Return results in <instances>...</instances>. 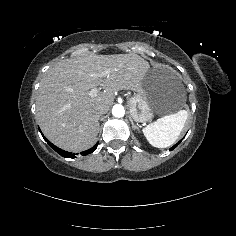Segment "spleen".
Instances as JSON below:
<instances>
[{"label":"spleen","instance_id":"obj_1","mask_svg":"<svg viewBox=\"0 0 236 236\" xmlns=\"http://www.w3.org/2000/svg\"><path fill=\"white\" fill-rule=\"evenodd\" d=\"M188 108L164 116L143 129L149 143L157 148H166L176 142L188 118Z\"/></svg>","mask_w":236,"mask_h":236}]
</instances>
